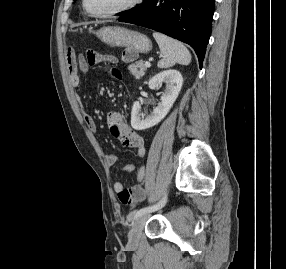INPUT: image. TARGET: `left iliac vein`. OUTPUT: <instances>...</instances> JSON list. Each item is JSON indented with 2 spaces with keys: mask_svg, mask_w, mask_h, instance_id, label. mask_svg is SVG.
Segmentation results:
<instances>
[{
  "mask_svg": "<svg viewBox=\"0 0 286 269\" xmlns=\"http://www.w3.org/2000/svg\"><path fill=\"white\" fill-rule=\"evenodd\" d=\"M149 217L148 213L139 216L134 222L130 232H129V244L137 245L142 234L145 222Z\"/></svg>",
  "mask_w": 286,
  "mask_h": 269,
  "instance_id": "left-iliac-vein-1",
  "label": "left iliac vein"
}]
</instances>
